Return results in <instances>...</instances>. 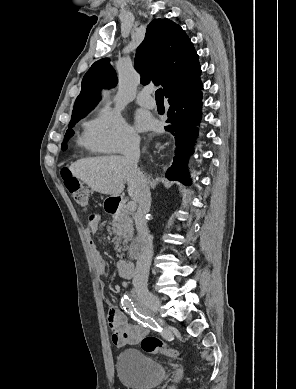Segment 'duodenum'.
<instances>
[{"label": "duodenum", "instance_id": "duodenum-1", "mask_svg": "<svg viewBox=\"0 0 296 389\" xmlns=\"http://www.w3.org/2000/svg\"><path fill=\"white\" fill-rule=\"evenodd\" d=\"M121 208V200L119 198H114L108 203L107 211L109 213L115 214ZM117 269L119 275L125 279H130L134 275V264L130 261H121L117 264Z\"/></svg>", "mask_w": 296, "mask_h": 389}]
</instances>
